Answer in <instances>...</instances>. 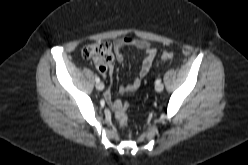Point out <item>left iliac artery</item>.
Masks as SVG:
<instances>
[{"label":"left iliac artery","mask_w":248,"mask_h":165,"mask_svg":"<svg viewBox=\"0 0 248 165\" xmlns=\"http://www.w3.org/2000/svg\"><path fill=\"white\" fill-rule=\"evenodd\" d=\"M155 83H156V84L161 83V79H157Z\"/></svg>","instance_id":"44dca946"}]
</instances>
